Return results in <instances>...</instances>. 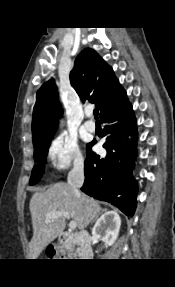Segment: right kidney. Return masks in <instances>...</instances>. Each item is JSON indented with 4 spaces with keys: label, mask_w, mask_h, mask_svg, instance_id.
<instances>
[{
    "label": "right kidney",
    "mask_w": 175,
    "mask_h": 287,
    "mask_svg": "<svg viewBox=\"0 0 175 287\" xmlns=\"http://www.w3.org/2000/svg\"><path fill=\"white\" fill-rule=\"evenodd\" d=\"M120 226L121 219L118 213L107 211L96 221L92 234L106 245L112 246L118 237Z\"/></svg>",
    "instance_id": "ca27d5eb"
}]
</instances>
